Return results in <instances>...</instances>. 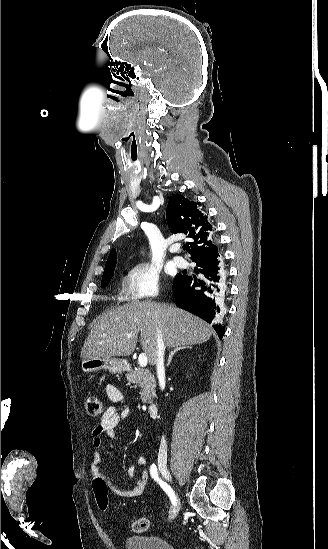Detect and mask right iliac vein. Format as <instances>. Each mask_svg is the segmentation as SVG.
<instances>
[{
    "label": "right iliac vein",
    "instance_id": "63e3f726",
    "mask_svg": "<svg viewBox=\"0 0 328 549\" xmlns=\"http://www.w3.org/2000/svg\"><path fill=\"white\" fill-rule=\"evenodd\" d=\"M159 468H160L161 472L163 473V475L166 477V479L168 481H172L171 473L168 470L165 462L160 463ZM180 508H181L180 507V501H179L178 497H176V505L174 506V508H173V510H172V512L169 516L170 521H172L173 519L176 518V516L179 513Z\"/></svg>",
    "mask_w": 328,
    "mask_h": 549
}]
</instances>
